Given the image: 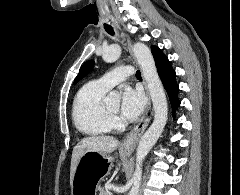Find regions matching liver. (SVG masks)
<instances>
[{
	"label": "liver",
	"instance_id": "1",
	"mask_svg": "<svg viewBox=\"0 0 240 195\" xmlns=\"http://www.w3.org/2000/svg\"><path fill=\"white\" fill-rule=\"evenodd\" d=\"M119 145L118 139L113 135H93V137H83L75 147H73L70 167V179L72 181L75 169L85 151H97L101 155H107L115 151Z\"/></svg>",
	"mask_w": 240,
	"mask_h": 195
}]
</instances>
